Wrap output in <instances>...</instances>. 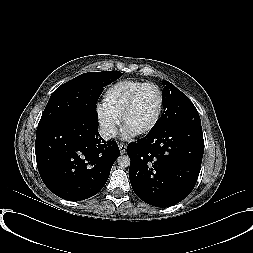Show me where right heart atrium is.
Masks as SVG:
<instances>
[{
  "instance_id": "right-heart-atrium-1",
  "label": "right heart atrium",
  "mask_w": 253,
  "mask_h": 253,
  "mask_svg": "<svg viewBox=\"0 0 253 253\" xmlns=\"http://www.w3.org/2000/svg\"><path fill=\"white\" fill-rule=\"evenodd\" d=\"M95 115L101 135L106 139L112 138L116 134L120 122L119 116L115 115L103 105L97 106Z\"/></svg>"
}]
</instances>
